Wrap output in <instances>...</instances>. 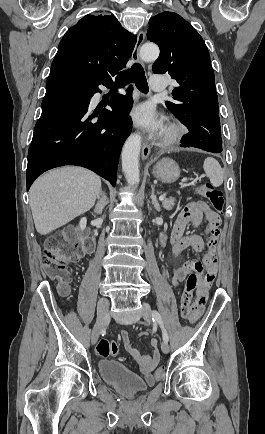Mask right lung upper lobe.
Listing matches in <instances>:
<instances>
[{
  "instance_id": "1",
  "label": "right lung upper lobe",
  "mask_w": 265,
  "mask_h": 434,
  "mask_svg": "<svg viewBox=\"0 0 265 434\" xmlns=\"http://www.w3.org/2000/svg\"><path fill=\"white\" fill-rule=\"evenodd\" d=\"M136 41L113 14L86 15L60 41L51 73L115 75L126 66Z\"/></svg>"
}]
</instances>
